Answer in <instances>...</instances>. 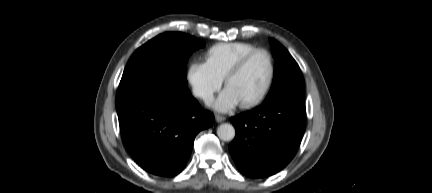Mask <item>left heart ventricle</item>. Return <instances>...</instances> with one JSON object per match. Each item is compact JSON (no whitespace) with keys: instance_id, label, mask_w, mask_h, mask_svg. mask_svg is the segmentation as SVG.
Returning <instances> with one entry per match:
<instances>
[{"instance_id":"obj_1","label":"left heart ventricle","mask_w":432,"mask_h":193,"mask_svg":"<svg viewBox=\"0 0 432 193\" xmlns=\"http://www.w3.org/2000/svg\"><path fill=\"white\" fill-rule=\"evenodd\" d=\"M269 72L268 57L263 53L256 54L230 81L227 88L236 95L239 103L250 101L264 89Z\"/></svg>"}]
</instances>
